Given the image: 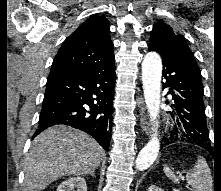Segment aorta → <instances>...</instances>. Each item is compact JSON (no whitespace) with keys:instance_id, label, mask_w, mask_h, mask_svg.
<instances>
[{"instance_id":"1","label":"aorta","mask_w":221,"mask_h":191,"mask_svg":"<svg viewBox=\"0 0 221 191\" xmlns=\"http://www.w3.org/2000/svg\"><path fill=\"white\" fill-rule=\"evenodd\" d=\"M161 76L162 60L160 55L157 52L147 53L142 62V84L146 107L155 128L150 140L139 152L135 161L136 169L141 171L146 170L154 163L160 149L157 118L160 112Z\"/></svg>"}]
</instances>
